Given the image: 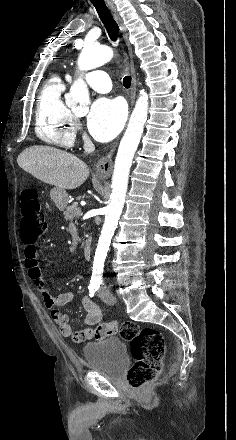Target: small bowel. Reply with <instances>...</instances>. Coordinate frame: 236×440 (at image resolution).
Wrapping results in <instances>:
<instances>
[{
    "mask_svg": "<svg viewBox=\"0 0 236 440\" xmlns=\"http://www.w3.org/2000/svg\"><path fill=\"white\" fill-rule=\"evenodd\" d=\"M24 243V259L28 275L34 281L37 290L41 294L43 304L51 310V317L58 325L60 334L63 337H72L75 343H82L89 339H96L97 342H106L107 339H113L115 335L113 330H116L117 327L116 321H100V309L86 296L82 298V306L86 312L84 323L87 328L84 330H81L80 327L72 328L70 317L62 311V308L72 301L73 293L66 291L59 293L57 296L50 294L38 264L36 246Z\"/></svg>",
    "mask_w": 236,
    "mask_h": 440,
    "instance_id": "c3829d8e",
    "label": "small bowel"
}]
</instances>
